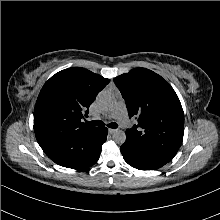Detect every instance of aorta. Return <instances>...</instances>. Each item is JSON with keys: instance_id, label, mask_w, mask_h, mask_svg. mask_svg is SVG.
I'll use <instances>...</instances> for the list:
<instances>
[{"instance_id": "aorta-1", "label": "aorta", "mask_w": 220, "mask_h": 220, "mask_svg": "<svg viewBox=\"0 0 220 220\" xmlns=\"http://www.w3.org/2000/svg\"><path fill=\"white\" fill-rule=\"evenodd\" d=\"M97 102L101 108L110 109L115 104V98L111 93L102 91L97 96ZM112 138L115 143L121 145L126 141V134L123 130L117 129L113 132Z\"/></svg>"}]
</instances>
